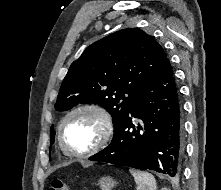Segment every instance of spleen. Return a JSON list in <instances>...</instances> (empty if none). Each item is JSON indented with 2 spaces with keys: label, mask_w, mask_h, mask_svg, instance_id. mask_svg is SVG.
Returning a JSON list of instances; mask_svg holds the SVG:
<instances>
[{
  "label": "spleen",
  "mask_w": 221,
  "mask_h": 190,
  "mask_svg": "<svg viewBox=\"0 0 221 190\" xmlns=\"http://www.w3.org/2000/svg\"><path fill=\"white\" fill-rule=\"evenodd\" d=\"M129 172L134 177L138 190H156L157 184L152 174L136 169H129Z\"/></svg>",
  "instance_id": "3e777b00"
}]
</instances>
